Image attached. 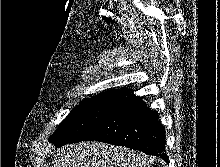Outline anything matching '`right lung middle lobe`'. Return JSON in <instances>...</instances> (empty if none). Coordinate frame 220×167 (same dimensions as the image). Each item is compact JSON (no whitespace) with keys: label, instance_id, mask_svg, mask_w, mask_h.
<instances>
[{"label":"right lung middle lobe","instance_id":"obj_1","mask_svg":"<svg viewBox=\"0 0 220 167\" xmlns=\"http://www.w3.org/2000/svg\"><path fill=\"white\" fill-rule=\"evenodd\" d=\"M114 101L92 98L81 102L68 114L49 141L56 147L82 141L104 119Z\"/></svg>","mask_w":220,"mask_h":167}]
</instances>
